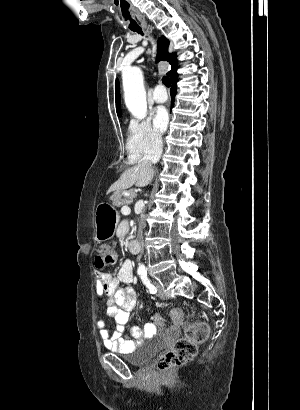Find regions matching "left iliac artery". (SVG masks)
Here are the masks:
<instances>
[{"mask_svg": "<svg viewBox=\"0 0 300 410\" xmlns=\"http://www.w3.org/2000/svg\"><path fill=\"white\" fill-rule=\"evenodd\" d=\"M141 279L151 294H155L157 292V288L151 283L150 279L147 276V272L141 274Z\"/></svg>", "mask_w": 300, "mask_h": 410, "instance_id": "44dca946", "label": "left iliac artery"}]
</instances>
